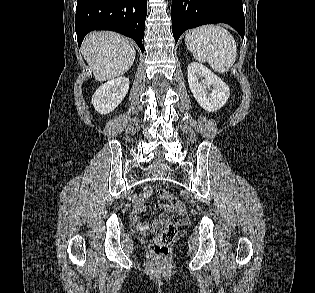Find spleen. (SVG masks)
<instances>
[{
	"mask_svg": "<svg viewBox=\"0 0 315 293\" xmlns=\"http://www.w3.org/2000/svg\"><path fill=\"white\" fill-rule=\"evenodd\" d=\"M185 44L197 61L207 62L218 73L227 72L236 60L235 39L221 26L204 25L192 29L185 36Z\"/></svg>",
	"mask_w": 315,
	"mask_h": 293,
	"instance_id": "obj_1",
	"label": "spleen"
}]
</instances>
